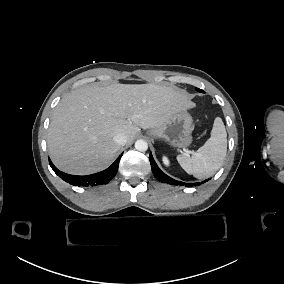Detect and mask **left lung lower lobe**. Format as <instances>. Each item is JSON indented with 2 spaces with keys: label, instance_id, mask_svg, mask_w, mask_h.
<instances>
[{
  "label": "left lung lower lobe",
  "instance_id": "1",
  "mask_svg": "<svg viewBox=\"0 0 284 284\" xmlns=\"http://www.w3.org/2000/svg\"><path fill=\"white\" fill-rule=\"evenodd\" d=\"M149 160H150V163H151L152 172H153L154 176L156 177V179L159 180L160 182H166V183H169V184H172V185H185V186H196L198 184H201V183H184V182H180V181H177L175 179H172L171 177L167 176L165 173H163L159 169V167L157 166L156 162L154 161L151 153H150ZM208 180L203 181V183L208 181Z\"/></svg>",
  "mask_w": 284,
  "mask_h": 284
}]
</instances>
